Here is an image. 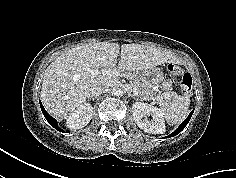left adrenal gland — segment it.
Instances as JSON below:
<instances>
[{
    "mask_svg": "<svg viewBox=\"0 0 236 178\" xmlns=\"http://www.w3.org/2000/svg\"><path fill=\"white\" fill-rule=\"evenodd\" d=\"M132 97L137 101L140 100V98L136 97L135 95H132Z\"/></svg>",
    "mask_w": 236,
    "mask_h": 178,
    "instance_id": "a2214340",
    "label": "left adrenal gland"
}]
</instances>
